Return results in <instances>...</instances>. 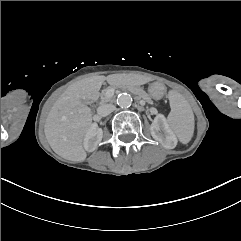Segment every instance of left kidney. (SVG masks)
Here are the masks:
<instances>
[{
	"label": "left kidney",
	"instance_id": "5707ae66",
	"mask_svg": "<svg viewBox=\"0 0 241 241\" xmlns=\"http://www.w3.org/2000/svg\"><path fill=\"white\" fill-rule=\"evenodd\" d=\"M150 132L153 139L158 141L164 148H175L177 140L162 115L155 116L150 126Z\"/></svg>",
	"mask_w": 241,
	"mask_h": 241
}]
</instances>
